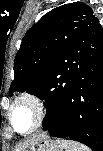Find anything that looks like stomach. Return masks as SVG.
<instances>
[{
  "mask_svg": "<svg viewBox=\"0 0 103 151\" xmlns=\"http://www.w3.org/2000/svg\"><path fill=\"white\" fill-rule=\"evenodd\" d=\"M23 151H61V147L59 141L40 136L32 139Z\"/></svg>",
  "mask_w": 103,
  "mask_h": 151,
  "instance_id": "obj_1",
  "label": "stomach"
}]
</instances>
